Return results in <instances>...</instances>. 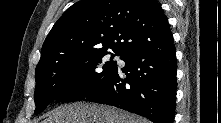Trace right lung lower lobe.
<instances>
[{
    "label": "right lung lower lobe",
    "instance_id": "1",
    "mask_svg": "<svg viewBox=\"0 0 221 123\" xmlns=\"http://www.w3.org/2000/svg\"><path fill=\"white\" fill-rule=\"evenodd\" d=\"M116 68L84 97L141 115L153 123H173L176 109L177 62L173 36L124 54Z\"/></svg>",
    "mask_w": 221,
    "mask_h": 123
}]
</instances>
